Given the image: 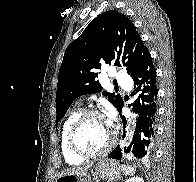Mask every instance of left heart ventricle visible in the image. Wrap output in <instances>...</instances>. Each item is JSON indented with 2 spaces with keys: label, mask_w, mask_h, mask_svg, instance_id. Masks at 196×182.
Instances as JSON below:
<instances>
[{
  "label": "left heart ventricle",
  "mask_w": 196,
  "mask_h": 182,
  "mask_svg": "<svg viewBox=\"0 0 196 182\" xmlns=\"http://www.w3.org/2000/svg\"><path fill=\"white\" fill-rule=\"evenodd\" d=\"M110 128L100 117L87 119L79 128L76 143L83 151L93 153L101 150L109 141Z\"/></svg>",
  "instance_id": "left-heart-ventricle-1"
}]
</instances>
